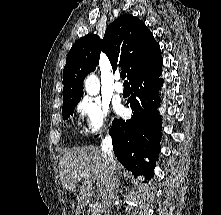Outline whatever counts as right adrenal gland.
<instances>
[{
    "label": "right adrenal gland",
    "instance_id": "1",
    "mask_svg": "<svg viewBox=\"0 0 221 215\" xmlns=\"http://www.w3.org/2000/svg\"><path fill=\"white\" fill-rule=\"evenodd\" d=\"M119 185H120V183L118 182V183H117V185H116V187L118 188V187H119Z\"/></svg>",
    "mask_w": 221,
    "mask_h": 215
}]
</instances>
